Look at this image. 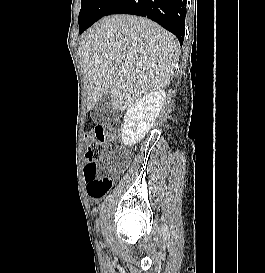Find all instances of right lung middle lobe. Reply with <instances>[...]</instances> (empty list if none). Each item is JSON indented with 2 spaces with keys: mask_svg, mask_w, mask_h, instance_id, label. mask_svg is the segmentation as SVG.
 <instances>
[{
  "mask_svg": "<svg viewBox=\"0 0 265 273\" xmlns=\"http://www.w3.org/2000/svg\"><path fill=\"white\" fill-rule=\"evenodd\" d=\"M115 0H81L78 17L79 33H83L94 22L105 16Z\"/></svg>",
  "mask_w": 265,
  "mask_h": 273,
  "instance_id": "right-lung-middle-lobe-1",
  "label": "right lung middle lobe"
}]
</instances>
